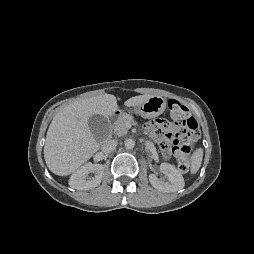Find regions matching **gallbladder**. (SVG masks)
Returning <instances> with one entry per match:
<instances>
[{
	"label": "gallbladder",
	"mask_w": 254,
	"mask_h": 254,
	"mask_svg": "<svg viewBox=\"0 0 254 254\" xmlns=\"http://www.w3.org/2000/svg\"><path fill=\"white\" fill-rule=\"evenodd\" d=\"M88 125L96 141H102L106 138L109 131V124L104 116L99 114L90 116Z\"/></svg>",
	"instance_id": "1"
}]
</instances>
